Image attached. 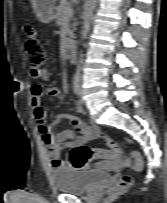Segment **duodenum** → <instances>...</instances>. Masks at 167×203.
I'll return each mask as SVG.
<instances>
[{
  "mask_svg": "<svg viewBox=\"0 0 167 203\" xmlns=\"http://www.w3.org/2000/svg\"><path fill=\"white\" fill-rule=\"evenodd\" d=\"M66 58L70 62L75 61V46L74 45H69L66 50Z\"/></svg>",
  "mask_w": 167,
  "mask_h": 203,
  "instance_id": "410a0bca",
  "label": "duodenum"
}]
</instances>
